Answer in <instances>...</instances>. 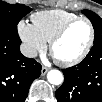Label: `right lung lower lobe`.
<instances>
[{
	"label": "right lung lower lobe",
	"mask_w": 102,
	"mask_h": 102,
	"mask_svg": "<svg viewBox=\"0 0 102 102\" xmlns=\"http://www.w3.org/2000/svg\"><path fill=\"white\" fill-rule=\"evenodd\" d=\"M18 34H0V102H24L41 65L20 53Z\"/></svg>",
	"instance_id": "98d812e1"
}]
</instances>
